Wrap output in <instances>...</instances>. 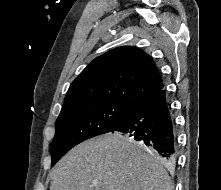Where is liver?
<instances>
[{
	"instance_id": "liver-1",
	"label": "liver",
	"mask_w": 221,
	"mask_h": 190,
	"mask_svg": "<svg viewBox=\"0 0 221 190\" xmlns=\"http://www.w3.org/2000/svg\"><path fill=\"white\" fill-rule=\"evenodd\" d=\"M50 179V190H173L159 160L118 132L71 149L53 168Z\"/></svg>"
}]
</instances>
